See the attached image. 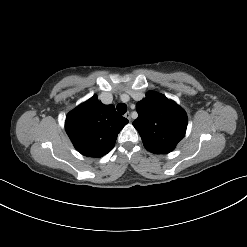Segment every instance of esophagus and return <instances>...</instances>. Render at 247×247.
<instances>
[{"label": "esophagus", "instance_id": "obj_1", "mask_svg": "<svg viewBox=\"0 0 247 247\" xmlns=\"http://www.w3.org/2000/svg\"><path fill=\"white\" fill-rule=\"evenodd\" d=\"M124 117L127 118L129 121H131V114H130V112H126L124 114Z\"/></svg>", "mask_w": 247, "mask_h": 247}]
</instances>
